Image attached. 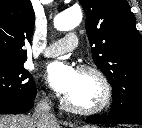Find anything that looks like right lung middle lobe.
Here are the masks:
<instances>
[{
    "label": "right lung middle lobe",
    "mask_w": 142,
    "mask_h": 128,
    "mask_svg": "<svg viewBox=\"0 0 142 128\" xmlns=\"http://www.w3.org/2000/svg\"><path fill=\"white\" fill-rule=\"evenodd\" d=\"M35 93L34 80L23 65L0 66V100H28Z\"/></svg>",
    "instance_id": "right-lung-middle-lobe-1"
}]
</instances>
